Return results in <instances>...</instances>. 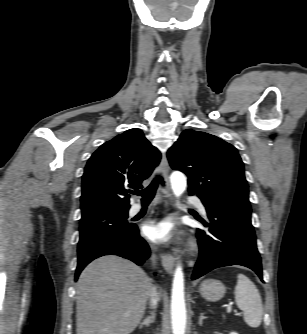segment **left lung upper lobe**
<instances>
[{"label": "left lung upper lobe", "instance_id": "5c2ea615", "mask_svg": "<svg viewBox=\"0 0 307 334\" xmlns=\"http://www.w3.org/2000/svg\"><path fill=\"white\" fill-rule=\"evenodd\" d=\"M167 157L174 170L188 176L190 194L196 193L205 206L251 214L244 165L234 146L214 135L187 129Z\"/></svg>", "mask_w": 307, "mask_h": 334}]
</instances>
